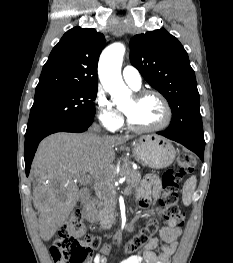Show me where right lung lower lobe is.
<instances>
[{
    "mask_svg": "<svg viewBox=\"0 0 233 263\" xmlns=\"http://www.w3.org/2000/svg\"><path fill=\"white\" fill-rule=\"evenodd\" d=\"M93 120L94 118H89L84 120L60 122L46 126L36 132H33L32 134L25 135L24 159L26 175H29L34 154L37 150L38 144L44 137L60 131L77 133L84 132L92 124Z\"/></svg>",
    "mask_w": 233,
    "mask_h": 263,
    "instance_id": "right-lung-lower-lobe-1",
    "label": "right lung lower lobe"
}]
</instances>
